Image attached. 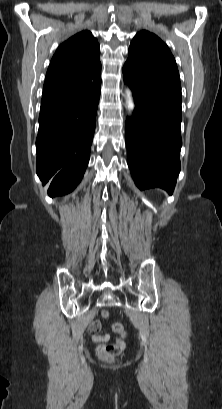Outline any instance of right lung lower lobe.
I'll return each mask as SVG.
<instances>
[{
    "label": "right lung lower lobe",
    "instance_id": "obj_1",
    "mask_svg": "<svg viewBox=\"0 0 222 409\" xmlns=\"http://www.w3.org/2000/svg\"><path fill=\"white\" fill-rule=\"evenodd\" d=\"M88 80V86L80 92L41 102L36 172L43 185L50 183V196L72 192L89 161L101 71Z\"/></svg>",
    "mask_w": 222,
    "mask_h": 409
}]
</instances>
